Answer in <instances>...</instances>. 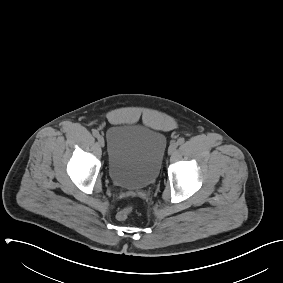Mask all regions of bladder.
<instances>
[{"mask_svg":"<svg viewBox=\"0 0 283 283\" xmlns=\"http://www.w3.org/2000/svg\"><path fill=\"white\" fill-rule=\"evenodd\" d=\"M108 174L119 187L141 190L159 175L166 137L144 125L111 127L107 132Z\"/></svg>","mask_w":283,"mask_h":283,"instance_id":"31cf9c89","label":"bladder"}]
</instances>
